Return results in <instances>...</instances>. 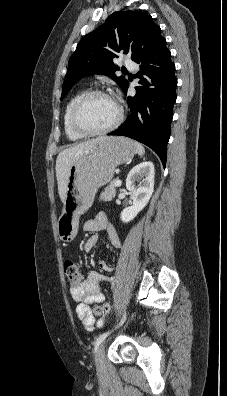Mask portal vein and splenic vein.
<instances>
[{"label":"portal vein and splenic vein","mask_w":227,"mask_h":396,"mask_svg":"<svg viewBox=\"0 0 227 396\" xmlns=\"http://www.w3.org/2000/svg\"><path fill=\"white\" fill-rule=\"evenodd\" d=\"M121 183H122L121 180H116L115 186H116V187H119V186H121Z\"/></svg>","instance_id":"1"}]
</instances>
